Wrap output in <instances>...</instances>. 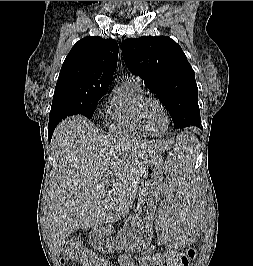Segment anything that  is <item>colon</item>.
Segmentation results:
<instances>
[{
  "mask_svg": "<svg viewBox=\"0 0 253 266\" xmlns=\"http://www.w3.org/2000/svg\"><path fill=\"white\" fill-rule=\"evenodd\" d=\"M195 256L196 252L194 250L181 254L170 252L156 255L153 258L149 257L143 265L191 266ZM61 263L72 266H105L104 260L99 258L94 251L86 247L80 238H71L67 241Z\"/></svg>",
  "mask_w": 253,
  "mask_h": 266,
  "instance_id": "colon-1",
  "label": "colon"
}]
</instances>
